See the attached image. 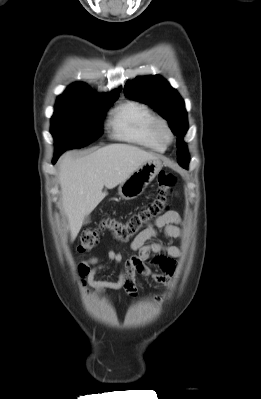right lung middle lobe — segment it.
<instances>
[{
    "instance_id": "obj_1",
    "label": "right lung middle lobe",
    "mask_w": 261,
    "mask_h": 399,
    "mask_svg": "<svg viewBox=\"0 0 261 399\" xmlns=\"http://www.w3.org/2000/svg\"><path fill=\"white\" fill-rule=\"evenodd\" d=\"M116 99L57 100L51 118L55 151L80 148L100 137L105 111Z\"/></svg>"
}]
</instances>
